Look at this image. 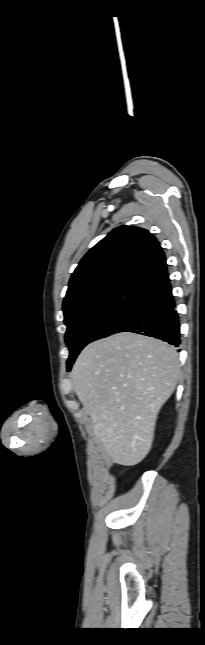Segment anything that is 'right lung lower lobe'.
Wrapping results in <instances>:
<instances>
[{"mask_svg": "<svg viewBox=\"0 0 205 645\" xmlns=\"http://www.w3.org/2000/svg\"><path fill=\"white\" fill-rule=\"evenodd\" d=\"M118 332H133L155 337L172 345L180 344L178 313L168 274L147 287L141 301L101 338Z\"/></svg>", "mask_w": 205, "mask_h": 645, "instance_id": "1", "label": "right lung lower lobe"}]
</instances>
